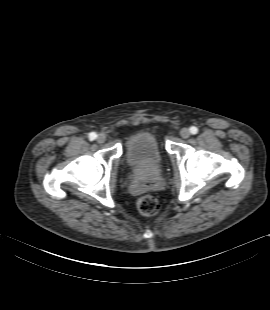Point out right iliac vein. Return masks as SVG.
<instances>
[{
  "mask_svg": "<svg viewBox=\"0 0 270 310\" xmlns=\"http://www.w3.org/2000/svg\"><path fill=\"white\" fill-rule=\"evenodd\" d=\"M106 140V136L104 134H99L97 137V142L98 143H104Z\"/></svg>",
  "mask_w": 270,
  "mask_h": 310,
  "instance_id": "1",
  "label": "right iliac vein"
}]
</instances>
